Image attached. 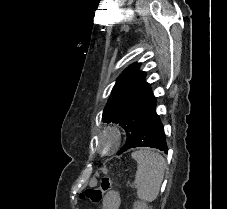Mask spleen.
<instances>
[{
    "mask_svg": "<svg viewBox=\"0 0 227 209\" xmlns=\"http://www.w3.org/2000/svg\"><path fill=\"white\" fill-rule=\"evenodd\" d=\"M137 161L135 183L137 197L144 203H152L160 193L166 169L165 159L152 149H140L131 155Z\"/></svg>",
    "mask_w": 227,
    "mask_h": 209,
    "instance_id": "obj_1",
    "label": "spleen"
}]
</instances>
